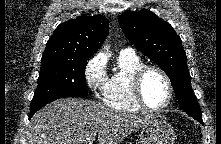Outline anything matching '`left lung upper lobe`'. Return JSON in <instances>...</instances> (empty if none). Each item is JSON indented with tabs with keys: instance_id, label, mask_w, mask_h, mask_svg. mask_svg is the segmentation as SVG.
Returning a JSON list of instances; mask_svg holds the SVG:
<instances>
[{
	"instance_id": "1",
	"label": "left lung upper lobe",
	"mask_w": 221,
	"mask_h": 144,
	"mask_svg": "<svg viewBox=\"0 0 221 144\" xmlns=\"http://www.w3.org/2000/svg\"><path fill=\"white\" fill-rule=\"evenodd\" d=\"M118 21L128 40L168 75L180 108L190 116L202 117L192 93L187 57L172 26L148 10L125 12Z\"/></svg>"
}]
</instances>
